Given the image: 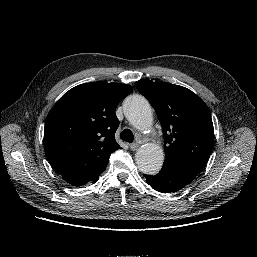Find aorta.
I'll return each mask as SVG.
<instances>
[{
	"label": "aorta",
	"instance_id": "aorta-1",
	"mask_svg": "<svg viewBox=\"0 0 257 257\" xmlns=\"http://www.w3.org/2000/svg\"><path fill=\"white\" fill-rule=\"evenodd\" d=\"M123 108L127 120L138 130L147 131L152 127L151 106L143 96L135 95L128 98ZM135 160L141 172L154 175L163 165L164 152L156 144H145L137 150Z\"/></svg>",
	"mask_w": 257,
	"mask_h": 257
}]
</instances>
